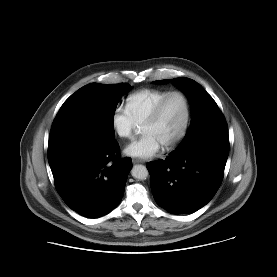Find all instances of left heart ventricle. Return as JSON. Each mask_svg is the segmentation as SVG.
I'll return each instance as SVG.
<instances>
[{
	"instance_id": "b2bd125f",
	"label": "left heart ventricle",
	"mask_w": 277,
	"mask_h": 277,
	"mask_svg": "<svg viewBox=\"0 0 277 277\" xmlns=\"http://www.w3.org/2000/svg\"><path fill=\"white\" fill-rule=\"evenodd\" d=\"M186 108L180 96L171 97L161 114L159 120L143 127V133H150L162 146L170 143L181 131L185 121Z\"/></svg>"
}]
</instances>
